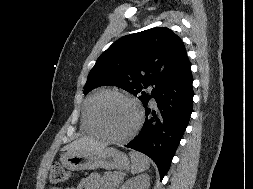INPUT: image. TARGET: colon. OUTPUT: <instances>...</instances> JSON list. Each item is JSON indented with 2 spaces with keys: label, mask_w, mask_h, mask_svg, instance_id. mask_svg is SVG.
I'll return each mask as SVG.
<instances>
[{
  "label": "colon",
  "mask_w": 253,
  "mask_h": 189,
  "mask_svg": "<svg viewBox=\"0 0 253 189\" xmlns=\"http://www.w3.org/2000/svg\"><path fill=\"white\" fill-rule=\"evenodd\" d=\"M69 178L68 171L58 163L52 165L50 174H49V182L51 184H62L65 183Z\"/></svg>",
  "instance_id": "1"
}]
</instances>
